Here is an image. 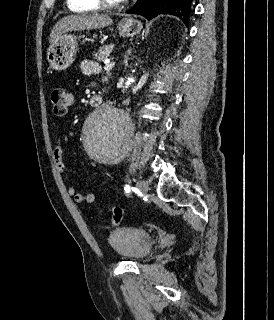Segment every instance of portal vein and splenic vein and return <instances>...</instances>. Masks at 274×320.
I'll list each match as a JSON object with an SVG mask.
<instances>
[{
	"instance_id": "1",
	"label": "portal vein and splenic vein",
	"mask_w": 274,
	"mask_h": 320,
	"mask_svg": "<svg viewBox=\"0 0 274 320\" xmlns=\"http://www.w3.org/2000/svg\"><path fill=\"white\" fill-rule=\"evenodd\" d=\"M105 70H111L114 66V62H111V60H105Z\"/></svg>"
}]
</instances>
